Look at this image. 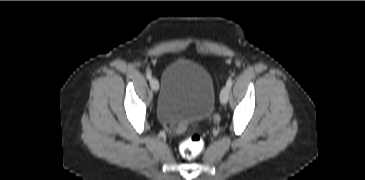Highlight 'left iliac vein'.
<instances>
[{"label": "left iliac vein", "mask_w": 365, "mask_h": 180, "mask_svg": "<svg viewBox=\"0 0 365 180\" xmlns=\"http://www.w3.org/2000/svg\"><path fill=\"white\" fill-rule=\"evenodd\" d=\"M230 89L225 86L220 93V102L222 105H225L229 99Z\"/></svg>", "instance_id": "4c4485c4"}]
</instances>
